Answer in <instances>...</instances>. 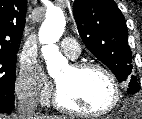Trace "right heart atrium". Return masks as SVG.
<instances>
[{
  "label": "right heart atrium",
  "instance_id": "obj_1",
  "mask_svg": "<svg viewBox=\"0 0 142 119\" xmlns=\"http://www.w3.org/2000/svg\"><path fill=\"white\" fill-rule=\"evenodd\" d=\"M15 90L21 99L29 102L44 103L51 95L50 86L42 77L39 64L32 59L22 61Z\"/></svg>",
  "mask_w": 142,
  "mask_h": 119
}]
</instances>
